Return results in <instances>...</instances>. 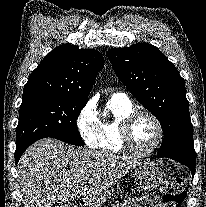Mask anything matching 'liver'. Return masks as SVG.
I'll return each mask as SVG.
<instances>
[{
    "mask_svg": "<svg viewBox=\"0 0 206 207\" xmlns=\"http://www.w3.org/2000/svg\"><path fill=\"white\" fill-rule=\"evenodd\" d=\"M140 162L52 138L31 145L20 158L17 181L23 207H50L83 197L89 207H100L113 184Z\"/></svg>",
    "mask_w": 206,
    "mask_h": 207,
    "instance_id": "6515ba94",
    "label": "liver"
}]
</instances>
